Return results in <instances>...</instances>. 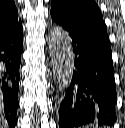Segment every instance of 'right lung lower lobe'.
<instances>
[{"label":"right lung lower lobe","mask_w":125,"mask_h":128,"mask_svg":"<svg viewBox=\"0 0 125 128\" xmlns=\"http://www.w3.org/2000/svg\"><path fill=\"white\" fill-rule=\"evenodd\" d=\"M22 37V24L13 30L0 34V100L10 128H14L16 125V111L19 105Z\"/></svg>","instance_id":"right-lung-lower-lobe-1"}]
</instances>
